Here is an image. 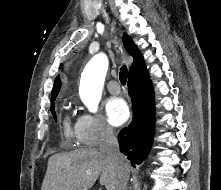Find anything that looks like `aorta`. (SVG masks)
I'll use <instances>...</instances> for the list:
<instances>
[{
  "label": "aorta",
  "instance_id": "762f6f07",
  "mask_svg": "<svg viewBox=\"0 0 221 190\" xmlns=\"http://www.w3.org/2000/svg\"><path fill=\"white\" fill-rule=\"evenodd\" d=\"M109 61L105 54L95 55L86 65L80 81L79 94L92 113L97 112Z\"/></svg>",
  "mask_w": 221,
  "mask_h": 190
}]
</instances>
